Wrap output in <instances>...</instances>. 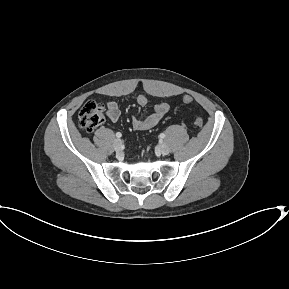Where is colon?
<instances>
[{
	"label": "colon",
	"instance_id": "obj_1",
	"mask_svg": "<svg viewBox=\"0 0 289 289\" xmlns=\"http://www.w3.org/2000/svg\"><path fill=\"white\" fill-rule=\"evenodd\" d=\"M183 102L185 104H191L193 102V98L186 95L183 98ZM103 120L104 107L99 102L89 100L85 102L79 111V126L87 132H91L96 129L103 122ZM195 125L196 127L201 128L203 126V119L201 117H197L195 119Z\"/></svg>",
	"mask_w": 289,
	"mask_h": 289
}]
</instances>
